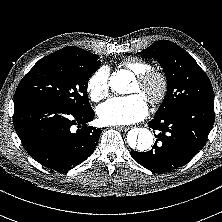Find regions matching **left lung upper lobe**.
<instances>
[{"label":"left lung upper lobe","instance_id":"left-lung-upper-lobe-1","mask_svg":"<svg viewBox=\"0 0 222 222\" xmlns=\"http://www.w3.org/2000/svg\"><path fill=\"white\" fill-rule=\"evenodd\" d=\"M139 54L157 59L166 74L167 92L156 115L172 112L188 104H214L210 80L184 49L171 41L160 40Z\"/></svg>","mask_w":222,"mask_h":222}]
</instances>
